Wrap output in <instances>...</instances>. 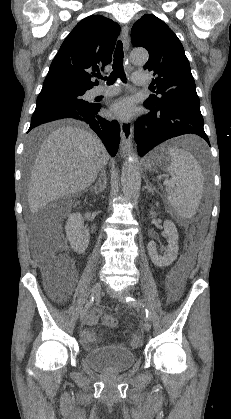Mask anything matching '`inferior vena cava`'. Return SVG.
Segmentation results:
<instances>
[{"mask_svg":"<svg viewBox=\"0 0 231 419\" xmlns=\"http://www.w3.org/2000/svg\"><path fill=\"white\" fill-rule=\"evenodd\" d=\"M101 176H105V172L104 171L101 172Z\"/></svg>","mask_w":231,"mask_h":419,"instance_id":"602c4592","label":"inferior vena cava"}]
</instances>
